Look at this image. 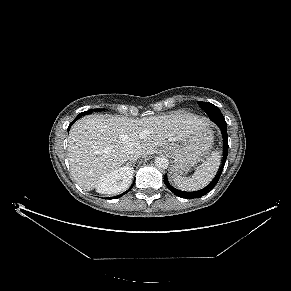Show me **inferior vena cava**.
Segmentation results:
<instances>
[{
    "label": "inferior vena cava",
    "mask_w": 291,
    "mask_h": 291,
    "mask_svg": "<svg viewBox=\"0 0 291 291\" xmlns=\"http://www.w3.org/2000/svg\"><path fill=\"white\" fill-rule=\"evenodd\" d=\"M126 155L127 158L131 161V160H137L138 158H140L142 156V150L139 147L136 146H129L126 149Z\"/></svg>",
    "instance_id": "602c4592"
}]
</instances>
